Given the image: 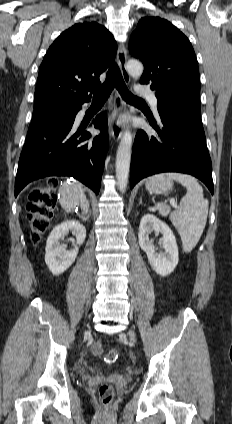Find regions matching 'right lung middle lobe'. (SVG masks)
<instances>
[{"label": "right lung middle lobe", "mask_w": 232, "mask_h": 424, "mask_svg": "<svg viewBox=\"0 0 232 424\" xmlns=\"http://www.w3.org/2000/svg\"><path fill=\"white\" fill-rule=\"evenodd\" d=\"M60 105H51V106H45L41 108H35L32 116V120H39L40 119V113L46 111L49 108L57 107Z\"/></svg>", "instance_id": "1"}]
</instances>
